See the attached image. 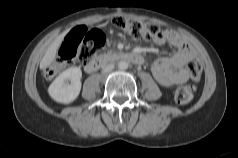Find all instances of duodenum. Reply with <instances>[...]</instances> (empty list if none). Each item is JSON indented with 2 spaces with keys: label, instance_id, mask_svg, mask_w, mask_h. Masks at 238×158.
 <instances>
[{
  "label": "duodenum",
  "instance_id": "duodenum-1",
  "mask_svg": "<svg viewBox=\"0 0 238 158\" xmlns=\"http://www.w3.org/2000/svg\"><path fill=\"white\" fill-rule=\"evenodd\" d=\"M115 60L129 61L136 65H142L144 63V58L138 53L105 54L91 60L85 66V70L88 73H92L97 71L102 65Z\"/></svg>",
  "mask_w": 238,
  "mask_h": 158
}]
</instances>
